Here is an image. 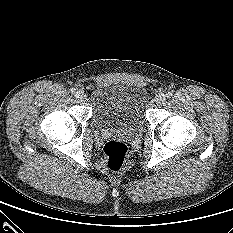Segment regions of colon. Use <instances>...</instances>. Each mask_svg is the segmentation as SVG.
Masks as SVG:
<instances>
[{
    "mask_svg": "<svg viewBox=\"0 0 233 233\" xmlns=\"http://www.w3.org/2000/svg\"><path fill=\"white\" fill-rule=\"evenodd\" d=\"M128 158L127 146L120 141L107 142L102 149V165L110 172L120 171L126 164Z\"/></svg>",
    "mask_w": 233,
    "mask_h": 233,
    "instance_id": "obj_1",
    "label": "colon"
}]
</instances>
